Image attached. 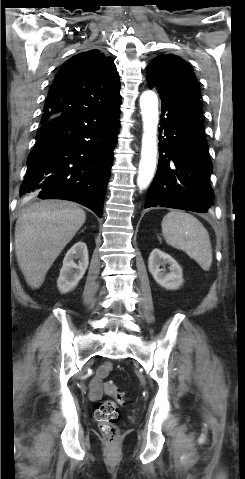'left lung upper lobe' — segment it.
I'll return each mask as SVG.
<instances>
[{
    "instance_id": "5c2ea615",
    "label": "left lung upper lobe",
    "mask_w": 245,
    "mask_h": 479,
    "mask_svg": "<svg viewBox=\"0 0 245 479\" xmlns=\"http://www.w3.org/2000/svg\"><path fill=\"white\" fill-rule=\"evenodd\" d=\"M148 84L156 88L162 97H175L194 93L200 97V89L191 66L174 55H159L153 59L147 72Z\"/></svg>"
}]
</instances>
